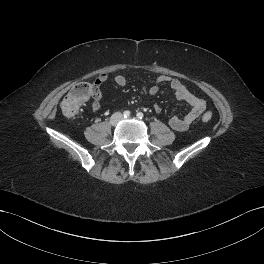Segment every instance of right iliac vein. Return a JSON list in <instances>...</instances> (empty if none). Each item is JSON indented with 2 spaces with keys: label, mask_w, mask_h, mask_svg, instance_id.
Masks as SVG:
<instances>
[{
  "label": "right iliac vein",
  "mask_w": 264,
  "mask_h": 264,
  "mask_svg": "<svg viewBox=\"0 0 264 264\" xmlns=\"http://www.w3.org/2000/svg\"><path fill=\"white\" fill-rule=\"evenodd\" d=\"M122 119V115L120 113H116L111 118V123L116 125Z\"/></svg>",
  "instance_id": "1"
}]
</instances>
